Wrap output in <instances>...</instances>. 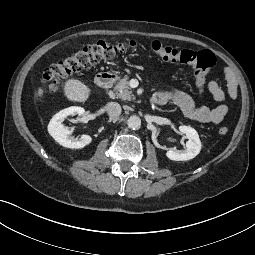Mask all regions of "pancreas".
I'll list each match as a JSON object with an SVG mask.
<instances>
[{"label": "pancreas", "mask_w": 255, "mask_h": 255, "mask_svg": "<svg viewBox=\"0 0 255 255\" xmlns=\"http://www.w3.org/2000/svg\"><path fill=\"white\" fill-rule=\"evenodd\" d=\"M114 91L118 98L122 100H134L135 96L132 93V90L129 87V76L125 75L122 79L116 83Z\"/></svg>", "instance_id": "cf45deb5"}]
</instances>
